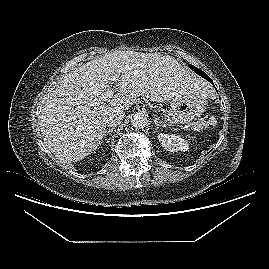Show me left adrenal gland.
<instances>
[{
    "label": "left adrenal gland",
    "mask_w": 269,
    "mask_h": 269,
    "mask_svg": "<svg viewBox=\"0 0 269 269\" xmlns=\"http://www.w3.org/2000/svg\"><path fill=\"white\" fill-rule=\"evenodd\" d=\"M154 122H155V126H156L157 129L160 128V127L162 128V127L166 126L162 121H160V119L158 117L155 118Z\"/></svg>",
    "instance_id": "obj_1"
}]
</instances>
